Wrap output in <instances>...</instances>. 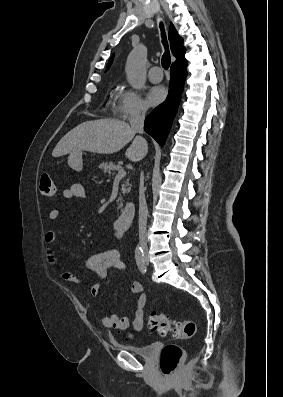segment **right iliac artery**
Wrapping results in <instances>:
<instances>
[{"label": "right iliac artery", "mask_w": 283, "mask_h": 397, "mask_svg": "<svg viewBox=\"0 0 283 397\" xmlns=\"http://www.w3.org/2000/svg\"><path fill=\"white\" fill-rule=\"evenodd\" d=\"M143 256H144L143 250H141V249L136 250L135 259H136L137 266H138L139 270L142 273H145L146 272V266H145V263H144Z\"/></svg>", "instance_id": "obj_1"}]
</instances>
